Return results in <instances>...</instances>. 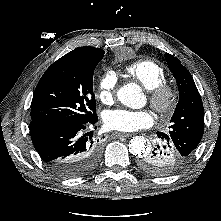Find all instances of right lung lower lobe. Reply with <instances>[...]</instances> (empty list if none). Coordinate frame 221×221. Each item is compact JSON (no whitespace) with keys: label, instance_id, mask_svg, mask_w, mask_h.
I'll return each instance as SVG.
<instances>
[{"label":"right lung lower lobe","instance_id":"right-lung-lower-lobe-1","mask_svg":"<svg viewBox=\"0 0 221 221\" xmlns=\"http://www.w3.org/2000/svg\"><path fill=\"white\" fill-rule=\"evenodd\" d=\"M98 117L83 124L31 121L33 145L55 174L65 178L81 177L93 171L100 160V147L92 140L87 126ZM98 142V141H97Z\"/></svg>","mask_w":221,"mask_h":221}]
</instances>
